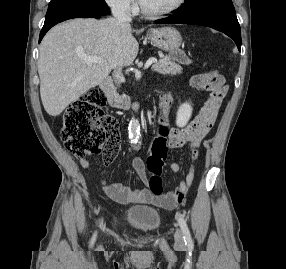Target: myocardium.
I'll return each instance as SVG.
<instances>
[{
    "instance_id": "obj_1",
    "label": "myocardium",
    "mask_w": 286,
    "mask_h": 269,
    "mask_svg": "<svg viewBox=\"0 0 286 269\" xmlns=\"http://www.w3.org/2000/svg\"><path fill=\"white\" fill-rule=\"evenodd\" d=\"M185 0H176L170 7L160 10V11H150L148 9H146L141 0H138V4H139V8L141 13L146 16V17H150V18H159V17H163L169 14L174 13L175 11H177L183 4H184Z\"/></svg>"
}]
</instances>
